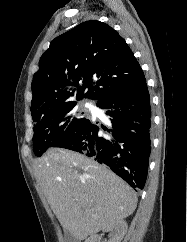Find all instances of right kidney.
I'll use <instances>...</instances> for the list:
<instances>
[{"instance_id":"obj_1","label":"right kidney","mask_w":187,"mask_h":242,"mask_svg":"<svg viewBox=\"0 0 187 242\" xmlns=\"http://www.w3.org/2000/svg\"><path fill=\"white\" fill-rule=\"evenodd\" d=\"M127 223L123 220L118 221L117 223L108 226L104 231H110V239L108 242H121L124 235L127 232ZM101 236L93 235L88 238L85 242H99Z\"/></svg>"}]
</instances>
